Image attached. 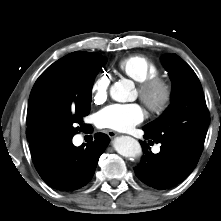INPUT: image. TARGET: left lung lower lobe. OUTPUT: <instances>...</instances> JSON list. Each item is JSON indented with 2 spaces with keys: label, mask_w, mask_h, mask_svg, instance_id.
I'll return each instance as SVG.
<instances>
[{
  "label": "left lung lower lobe",
  "mask_w": 221,
  "mask_h": 221,
  "mask_svg": "<svg viewBox=\"0 0 221 221\" xmlns=\"http://www.w3.org/2000/svg\"><path fill=\"white\" fill-rule=\"evenodd\" d=\"M143 130L144 138L151 139L144 127ZM140 143L144 156L134 171L142 182L155 189H168L182 182L193 171L200 158V155L178 144L161 143L160 152L153 154L144 142Z\"/></svg>",
  "instance_id": "left-lung-lower-lobe-1"
}]
</instances>
